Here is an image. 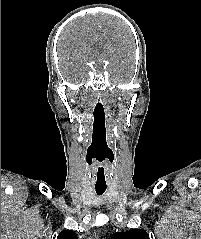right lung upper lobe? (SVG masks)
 Listing matches in <instances>:
<instances>
[{
    "mask_svg": "<svg viewBox=\"0 0 201 239\" xmlns=\"http://www.w3.org/2000/svg\"><path fill=\"white\" fill-rule=\"evenodd\" d=\"M57 239H77V236L73 230H63L60 232Z\"/></svg>",
    "mask_w": 201,
    "mask_h": 239,
    "instance_id": "cb5924a9",
    "label": "right lung upper lobe"
}]
</instances>
